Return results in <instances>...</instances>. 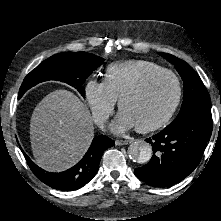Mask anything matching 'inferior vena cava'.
<instances>
[{"instance_id": "obj_1", "label": "inferior vena cava", "mask_w": 221, "mask_h": 221, "mask_svg": "<svg viewBox=\"0 0 221 221\" xmlns=\"http://www.w3.org/2000/svg\"><path fill=\"white\" fill-rule=\"evenodd\" d=\"M104 121H105V118H102V119L97 120L96 122L100 127H103Z\"/></svg>"}]
</instances>
